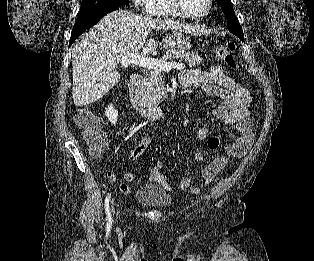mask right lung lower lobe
<instances>
[{
    "mask_svg": "<svg viewBox=\"0 0 314 261\" xmlns=\"http://www.w3.org/2000/svg\"><path fill=\"white\" fill-rule=\"evenodd\" d=\"M117 9H119L118 6H112L108 9L95 13L90 17L77 20L73 27L72 35L69 41V46H71V44L80 34H82L84 31L95 25L104 15Z\"/></svg>",
    "mask_w": 314,
    "mask_h": 261,
    "instance_id": "1",
    "label": "right lung lower lobe"
}]
</instances>
